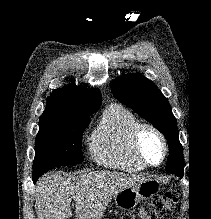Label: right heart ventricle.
<instances>
[{"mask_svg": "<svg viewBox=\"0 0 211 219\" xmlns=\"http://www.w3.org/2000/svg\"><path fill=\"white\" fill-rule=\"evenodd\" d=\"M139 124V119L122 105L106 108L89 141L94 162L126 172L144 170L132 149V135Z\"/></svg>", "mask_w": 211, "mask_h": 219, "instance_id": "1", "label": "right heart ventricle"}]
</instances>
